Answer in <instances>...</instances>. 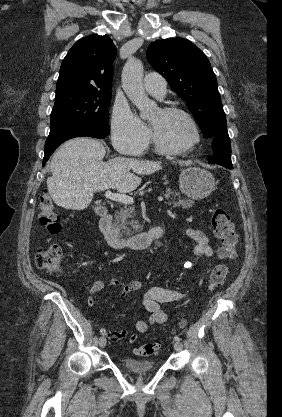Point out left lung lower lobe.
I'll return each mask as SVG.
<instances>
[{
    "label": "left lung lower lobe",
    "instance_id": "obj_1",
    "mask_svg": "<svg viewBox=\"0 0 282 417\" xmlns=\"http://www.w3.org/2000/svg\"><path fill=\"white\" fill-rule=\"evenodd\" d=\"M214 156L208 158L210 163L220 164L228 169H233L231 163V144L227 129L219 130L212 138Z\"/></svg>",
    "mask_w": 282,
    "mask_h": 417
}]
</instances>
